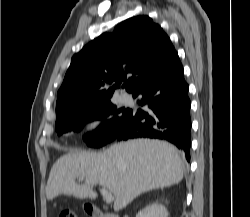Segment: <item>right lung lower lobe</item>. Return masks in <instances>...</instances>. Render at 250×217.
I'll use <instances>...</instances> for the list:
<instances>
[{
    "mask_svg": "<svg viewBox=\"0 0 250 217\" xmlns=\"http://www.w3.org/2000/svg\"><path fill=\"white\" fill-rule=\"evenodd\" d=\"M189 86L183 77L178 55L150 82L132 95L148 110L133 112L116 139L150 137L166 139L176 145L190 160L191 102Z\"/></svg>",
    "mask_w": 250,
    "mask_h": 217,
    "instance_id": "right-lung-lower-lobe-1",
    "label": "right lung lower lobe"
}]
</instances>
